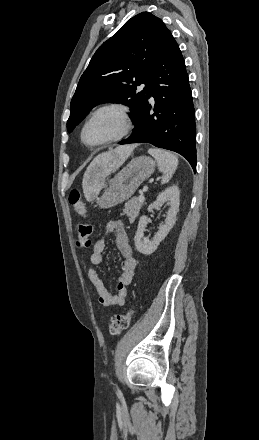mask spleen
I'll return each instance as SVG.
<instances>
[{
	"label": "spleen",
	"mask_w": 259,
	"mask_h": 440,
	"mask_svg": "<svg viewBox=\"0 0 259 440\" xmlns=\"http://www.w3.org/2000/svg\"><path fill=\"white\" fill-rule=\"evenodd\" d=\"M148 153L155 158L159 171L163 173L161 183H168L178 166V158L163 149L151 148Z\"/></svg>",
	"instance_id": "obj_1"
}]
</instances>
